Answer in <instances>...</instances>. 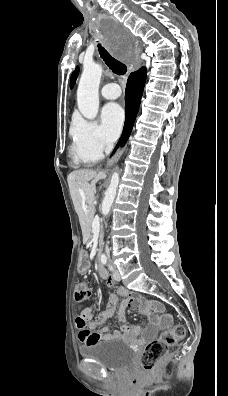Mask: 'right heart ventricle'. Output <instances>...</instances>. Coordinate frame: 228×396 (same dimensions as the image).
<instances>
[{
  "label": "right heart ventricle",
  "instance_id": "e07e8e85",
  "mask_svg": "<svg viewBox=\"0 0 228 396\" xmlns=\"http://www.w3.org/2000/svg\"><path fill=\"white\" fill-rule=\"evenodd\" d=\"M82 161H83L84 163H87V164H91V163L95 162L94 160L88 159V158H82Z\"/></svg>",
  "mask_w": 228,
  "mask_h": 396
}]
</instances>
